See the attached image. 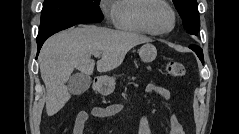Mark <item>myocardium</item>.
<instances>
[{
  "mask_svg": "<svg viewBox=\"0 0 239 134\" xmlns=\"http://www.w3.org/2000/svg\"><path fill=\"white\" fill-rule=\"evenodd\" d=\"M156 4H162L166 6L171 14H172V25L168 30L165 31H159L157 30L151 20V10ZM142 20L144 25L147 27V29L153 34L157 36H164L170 34L176 27L177 24V14L173 6L168 2L164 0H148L145 4L143 11H142Z\"/></svg>",
  "mask_w": 239,
  "mask_h": 134,
  "instance_id": "obj_1",
  "label": "myocardium"
}]
</instances>
